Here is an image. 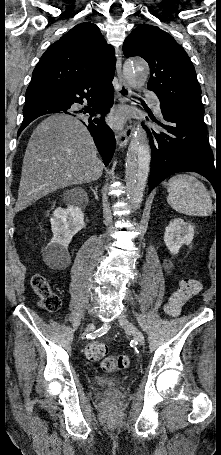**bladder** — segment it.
Wrapping results in <instances>:
<instances>
[{
    "instance_id": "obj_1",
    "label": "bladder",
    "mask_w": 221,
    "mask_h": 455,
    "mask_svg": "<svg viewBox=\"0 0 221 455\" xmlns=\"http://www.w3.org/2000/svg\"><path fill=\"white\" fill-rule=\"evenodd\" d=\"M122 379L97 377L96 383L101 386L112 387L120 384Z\"/></svg>"
}]
</instances>
